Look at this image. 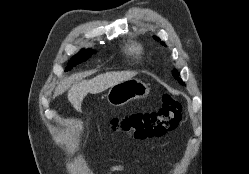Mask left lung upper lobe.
<instances>
[{"label": "left lung upper lobe", "mask_w": 249, "mask_h": 174, "mask_svg": "<svg viewBox=\"0 0 249 174\" xmlns=\"http://www.w3.org/2000/svg\"><path fill=\"white\" fill-rule=\"evenodd\" d=\"M156 40H160L159 38H155ZM162 45L165 46V44L163 42H161ZM173 76L182 84L184 85V82L181 80V78H179V74L177 73L176 70L173 71Z\"/></svg>", "instance_id": "obj_1"}]
</instances>
